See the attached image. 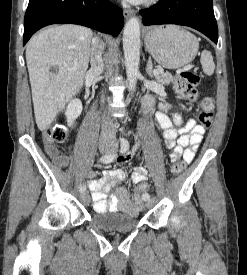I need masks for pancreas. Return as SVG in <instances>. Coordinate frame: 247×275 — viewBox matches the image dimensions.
<instances>
[{"label": "pancreas", "mask_w": 247, "mask_h": 275, "mask_svg": "<svg viewBox=\"0 0 247 275\" xmlns=\"http://www.w3.org/2000/svg\"><path fill=\"white\" fill-rule=\"evenodd\" d=\"M155 78H156V81L162 85H168L170 82L173 81V76L169 72L161 73Z\"/></svg>", "instance_id": "cf45deb5"}]
</instances>
